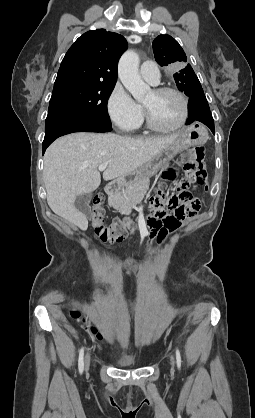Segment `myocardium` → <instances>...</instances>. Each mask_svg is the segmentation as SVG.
Returning <instances> with one entry per match:
<instances>
[{
  "mask_svg": "<svg viewBox=\"0 0 255 418\" xmlns=\"http://www.w3.org/2000/svg\"><path fill=\"white\" fill-rule=\"evenodd\" d=\"M153 91L156 94L173 93V94L177 95L182 101L183 114H182V117H181L180 121L177 124H175L174 126L162 127V126H159L155 123V121L153 120V118H152L149 110L147 109V107L143 106L144 117H145L147 127L150 130L158 132V133H170V132L177 131L178 129L183 127L185 125V123L187 122L188 117H189V101H188L187 96L182 91L178 90L177 88L168 87V86L158 87V88L154 89Z\"/></svg>",
  "mask_w": 255,
  "mask_h": 418,
  "instance_id": "f54148a6",
  "label": "myocardium"
}]
</instances>
